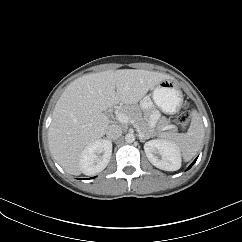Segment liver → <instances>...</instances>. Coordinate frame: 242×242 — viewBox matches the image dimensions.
<instances>
[{
	"instance_id": "liver-1",
	"label": "liver",
	"mask_w": 242,
	"mask_h": 242,
	"mask_svg": "<svg viewBox=\"0 0 242 242\" xmlns=\"http://www.w3.org/2000/svg\"><path fill=\"white\" fill-rule=\"evenodd\" d=\"M171 79L147 70H107L74 80L58 99L48 131L54 159L69 174L79 175L80 154L106 134L111 121L103 111L120 102L136 105L150 89Z\"/></svg>"
}]
</instances>
